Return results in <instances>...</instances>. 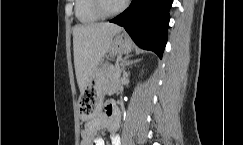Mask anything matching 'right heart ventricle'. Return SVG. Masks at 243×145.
Wrapping results in <instances>:
<instances>
[{
	"label": "right heart ventricle",
	"mask_w": 243,
	"mask_h": 145,
	"mask_svg": "<svg viewBox=\"0 0 243 145\" xmlns=\"http://www.w3.org/2000/svg\"><path fill=\"white\" fill-rule=\"evenodd\" d=\"M75 15L84 25H91L102 19L93 8V0H75Z\"/></svg>",
	"instance_id": "obj_1"
}]
</instances>
